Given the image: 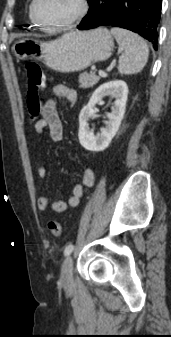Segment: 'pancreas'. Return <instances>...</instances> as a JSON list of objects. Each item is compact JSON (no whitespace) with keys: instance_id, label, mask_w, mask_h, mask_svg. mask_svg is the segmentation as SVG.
Returning a JSON list of instances; mask_svg holds the SVG:
<instances>
[{"instance_id":"cf45deb5","label":"pancreas","mask_w":171,"mask_h":337,"mask_svg":"<svg viewBox=\"0 0 171 337\" xmlns=\"http://www.w3.org/2000/svg\"><path fill=\"white\" fill-rule=\"evenodd\" d=\"M79 87L80 88H90L93 87L95 84L98 83L100 80L99 76L95 75L94 72H84L79 75Z\"/></svg>"}]
</instances>
